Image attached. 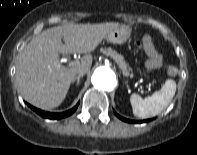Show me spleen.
I'll return each instance as SVG.
<instances>
[{"mask_svg": "<svg viewBox=\"0 0 197 155\" xmlns=\"http://www.w3.org/2000/svg\"><path fill=\"white\" fill-rule=\"evenodd\" d=\"M175 92L176 82L168 79L159 91L145 99H142L138 94H132L130 103L133 114L142 119L158 115L170 104Z\"/></svg>", "mask_w": 197, "mask_h": 155, "instance_id": "obj_1", "label": "spleen"}]
</instances>
